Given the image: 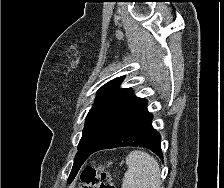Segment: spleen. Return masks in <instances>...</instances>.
I'll return each instance as SVG.
<instances>
[{
  "label": "spleen",
  "instance_id": "spleen-1",
  "mask_svg": "<svg viewBox=\"0 0 224 188\" xmlns=\"http://www.w3.org/2000/svg\"><path fill=\"white\" fill-rule=\"evenodd\" d=\"M128 170L124 174L122 188H162L160 168L154 157L134 150L126 157Z\"/></svg>",
  "mask_w": 224,
  "mask_h": 188
}]
</instances>
